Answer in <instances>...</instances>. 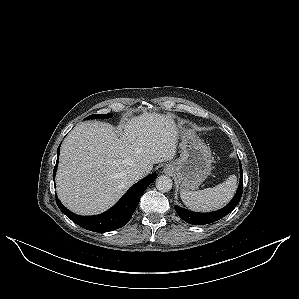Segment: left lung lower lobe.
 Masks as SVG:
<instances>
[{"label": "left lung lower lobe", "instance_id": "obj_1", "mask_svg": "<svg viewBox=\"0 0 299 299\" xmlns=\"http://www.w3.org/2000/svg\"><path fill=\"white\" fill-rule=\"evenodd\" d=\"M243 172H242V165L240 163V183L238 190L234 196V198L231 200V202L225 206L224 208L210 212V213H197L185 210L179 206H175V210L179 217L186 221L189 224L193 225H205L212 222H215L223 217H225L227 214H229L239 203L241 196H242V187H243V178H242Z\"/></svg>", "mask_w": 299, "mask_h": 299}]
</instances>
